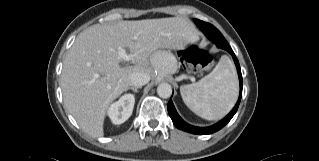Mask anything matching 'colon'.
I'll list each match as a JSON object with an SVG mask.
<instances>
[{
    "mask_svg": "<svg viewBox=\"0 0 319 161\" xmlns=\"http://www.w3.org/2000/svg\"><path fill=\"white\" fill-rule=\"evenodd\" d=\"M179 56L183 67L189 73L198 72L208 67L212 62L210 54L197 45H190L182 49Z\"/></svg>",
    "mask_w": 319,
    "mask_h": 161,
    "instance_id": "colon-1",
    "label": "colon"
}]
</instances>
